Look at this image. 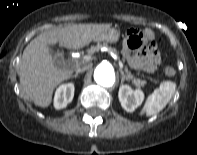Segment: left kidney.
<instances>
[{
  "mask_svg": "<svg viewBox=\"0 0 197 155\" xmlns=\"http://www.w3.org/2000/svg\"><path fill=\"white\" fill-rule=\"evenodd\" d=\"M119 101L127 112H133L144 100L140 89L133 90L129 85H121L118 92Z\"/></svg>",
  "mask_w": 197,
  "mask_h": 155,
  "instance_id": "left-kidney-1",
  "label": "left kidney"
}]
</instances>
